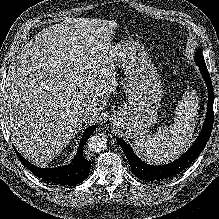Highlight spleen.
Segmentation results:
<instances>
[{
	"label": "spleen",
	"instance_id": "spleen-1",
	"mask_svg": "<svg viewBox=\"0 0 219 219\" xmlns=\"http://www.w3.org/2000/svg\"><path fill=\"white\" fill-rule=\"evenodd\" d=\"M194 92H187L175 109L174 123L153 134L134 139L135 153L145 162L162 164L177 158L189 145L194 133L198 104Z\"/></svg>",
	"mask_w": 219,
	"mask_h": 219
}]
</instances>
